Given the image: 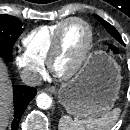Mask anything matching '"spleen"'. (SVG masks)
Wrapping results in <instances>:
<instances>
[{"label": "spleen", "instance_id": "3e777b00", "mask_svg": "<svg viewBox=\"0 0 130 130\" xmlns=\"http://www.w3.org/2000/svg\"><path fill=\"white\" fill-rule=\"evenodd\" d=\"M120 112V108H115L100 118H86L82 120H73L70 116L64 115L59 120L58 128L59 130H111Z\"/></svg>", "mask_w": 130, "mask_h": 130}]
</instances>
